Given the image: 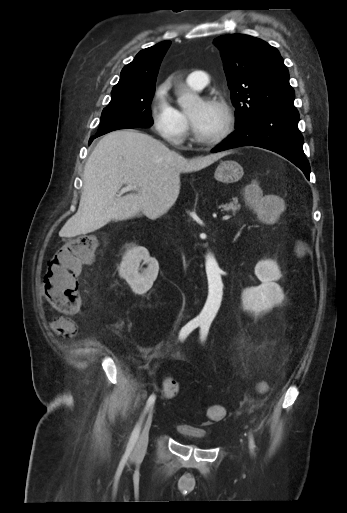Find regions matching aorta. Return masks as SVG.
I'll return each instance as SVG.
<instances>
[{
    "instance_id": "aorta-1",
    "label": "aorta",
    "mask_w": 347,
    "mask_h": 513,
    "mask_svg": "<svg viewBox=\"0 0 347 513\" xmlns=\"http://www.w3.org/2000/svg\"><path fill=\"white\" fill-rule=\"evenodd\" d=\"M179 104L185 111H190L201 104V98L189 92L187 89H181ZM206 273L208 278V299L201 311L199 318L203 321H212L222 299L223 284L220 276L219 266L214 256L209 253L206 256Z\"/></svg>"
}]
</instances>
